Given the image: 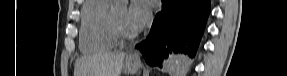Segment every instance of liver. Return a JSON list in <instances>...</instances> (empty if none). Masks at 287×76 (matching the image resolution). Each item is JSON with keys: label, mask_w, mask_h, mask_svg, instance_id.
I'll use <instances>...</instances> for the list:
<instances>
[{"label": "liver", "mask_w": 287, "mask_h": 76, "mask_svg": "<svg viewBox=\"0 0 287 76\" xmlns=\"http://www.w3.org/2000/svg\"><path fill=\"white\" fill-rule=\"evenodd\" d=\"M125 53L99 52L76 60L75 76H120Z\"/></svg>", "instance_id": "obj_1"}]
</instances>
